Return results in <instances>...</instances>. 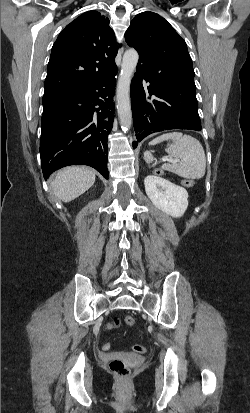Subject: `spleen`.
Wrapping results in <instances>:
<instances>
[{
    "mask_svg": "<svg viewBox=\"0 0 250 413\" xmlns=\"http://www.w3.org/2000/svg\"><path fill=\"white\" fill-rule=\"evenodd\" d=\"M168 140H171L172 144L168 145L166 152L171 157L181 161L165 163L162 165V169L187 179L202 178L206 171V157L201 143L190 135H183L181 132H170L153 139L150 145ZM144 159L147 163H150L153 161V155L146 151Z\"/></svg>",
    "mask_w": 250,
    "mask_h": 413,
    "instance_id": "3e777b00",
    "label": "spleen"
}]
</instances>
